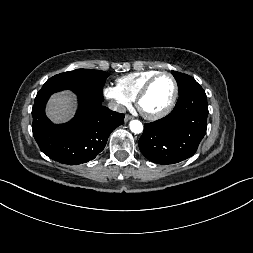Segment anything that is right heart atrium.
<instances>
[{"instance_id": "1", "label": "right heart atrium", "mask_w": 253, "mask_h": 253, "mask_svg": "<svg viewBox=\"0 0 253 253\" xmlns=\"http://www.w3.org/2000/svg\"><path fill=\"white\" fill-rule=\"evenodd\" d=\"M104 96L112 102L113 107L121 111L128 107L131 100L127 98L118 88L114 85H107L103 89Z\"/></svg>"}]
</instances>
